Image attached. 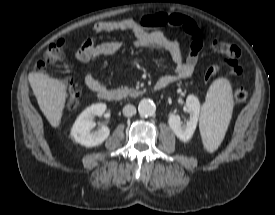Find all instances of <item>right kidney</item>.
I'll return each mask as SVG.
<instances>
[{"label": "right kidney", "instance_id": "1", "mask_svg": "<svg viewBox=\"0 0 275 215\" xmlns=\"http://www.w3.org/2000/svg\"><path fill=\"white\" fill-rule=\"evenodd\" d=\"M105 110L106 105L103 103L93 104L86 108L73 124L71 137L85 147H94L102 144L109 136V128L102 126L94 133H91V130L96 125L93 121L94 117L103 115Z\"/></svg>", "mask_w": 275, "mask_h": 215}]
</instances>
